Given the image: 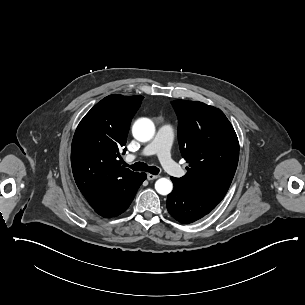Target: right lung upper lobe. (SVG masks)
Wrapping results in <instances>:
<instances>
[{
    "label": "right lung upper lobe",
    "mask_w": 305,
    "mask_h": 305,
    "mask_svg": "<svg viewBox=\"0 0 305 305\" xmlns=\"http://www.w3.org/2000/svg\"><path fill=\"white\" fill-rule=\"evenodd\" d=\"M142 100L138 95L107 96L85 115L75 131L72 171L92 208L110 201L138 180L140 173L124 168L117 159Z\"/></svg>",
    "instance_id": "1"
}]
</instances>
